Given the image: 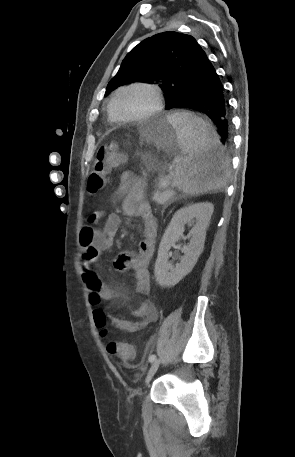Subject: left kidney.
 Returning a JSON list of instances; mask_svg holds the SVG:
<instances>
[{
    "mask_svg": "<svg viewBox=\"0 0 295 457\" xmlns=\"http://www.w3.org/2000/svg\"><path fill=\"white\" fill-rule=\"evenodd\" d=\"M214 207L211 203H197L185 206L173 215L159 245L154 274L161 287H173L195 266L204 248L206 229L209 226ZM188 224L192 229L187 246L183 248L184 256L175 267L168 262L170 248L184 232Z\"/></svg>",
    "mask_w": 295,
    "mask_h": 457,
    "instance_id": "1",
    "label": "left kidney"
}]
</instances>
